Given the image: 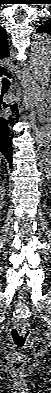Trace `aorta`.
Returning <instances> with one entry per match:
<instances>
[{
  "label": "aorta",
  "mask_w": 51,
  "mask_h": 393,
  "mask_svg": "<svg viewBox=\"0 0 51 393\" xmlns=\"http://www.w3.org/2000/svg\"><path fill=\"white\" fill-rule=\"evenodd\" d=\"M30 66L34 79L43 87L49 85L51 67V39L46 34L35 35L31 44ZM37 143L47 145L51 141V126L46 124L36 135Z\"/></svg>",
  "instance_id": "obj_1"
}]
</instances>
